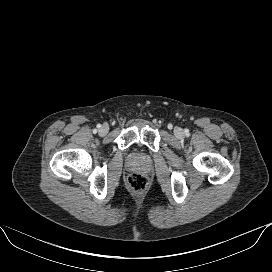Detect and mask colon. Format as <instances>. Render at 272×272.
Here are the masks:
<instances>
[{"label": "colon", "instance_id": "colon-1", "mask_svg": "<svg viewBox=\"0 0 272 272\" xmlns=\"http://www.w3.org/2000/svg\"><path fill=\"white\" fill-rule=\"evenodd\" d=\"M147 178L139 173H132L127 177V185L134 192L144 191L147 187Z\"/></svg>", "mask_w": 272, "mask_h": 272}]
</instances>
